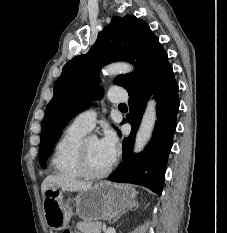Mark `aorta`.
<instances>
[{"label": "aorta", "mask_w": 227, "mask_h": 233, "mask_svg": "<svg viewBox=\"0 0 227 233\" xmlns=\"http://www.w3.org/2000/svg\"><path fill=\"white\" fill-rule=\"evenodd\" d=\"M132 70L133 66L128 63H113L104 68L103 74L106 76H115L118 74L129 73ZM156 120V102L151 99L147 103V107L142 117L140 127L136 134L134 144L135 153L142 151L148 143V141L150 140Z\"/></svg>", "instance_id": "obj_1"}]
</instances>
